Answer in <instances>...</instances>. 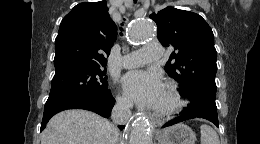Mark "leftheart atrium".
<instances>
[{
    "label": "left heart atrium",
    "mask_w": 260,
    "mask_h": 144,
    "mask_svg": "<svg viewBox=\"0 0 260 144\" xmlns=\"http://www.w3.org/2000/svg\"><path fill=\"white\" fill-rule=\"evenodd\" d=\"M123 85L133 101L146 106H155L164 88L156 73L139 70L127 73Z\"/></svg>",
    "instance_id": "1"
}]
</instances>
